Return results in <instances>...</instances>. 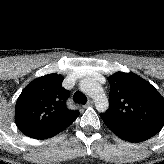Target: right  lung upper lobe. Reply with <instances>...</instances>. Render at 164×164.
Wrapping results in <instances>:
<instances>
[{"label":"right lung upper lobe","instance_id":"cb5924a9","mask_svg":"<svg viewBox=\"0 0 164 164\" xmlns=\"http://www.w3.org/2000/svg\"><path fill=\"white\" fill-rule=\"evenodd\" d=\"M62 82V75L48 74L33 80L22 91L15 106V121L26 136L79 116L78 110L67 107L69 92Z\"/></svg>","mask_w":164,"mask_h":164}]
</instances>
